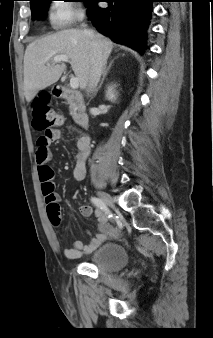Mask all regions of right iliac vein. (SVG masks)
I'll list each match as a JSON object with an SVG mask.
<instances>
[{
	"label": "right iliac vein",
	"instance_id": "right-iliac-vein-1",
	"mask_svg": "<svg viewBox=\"0 0 213 338\" xmlns=\"http://www.w3.org/2000/svg\"><path fill=\"white\" fill-rule=\"evenodd\" d=\"M97 195L105 204L114 208L113 200L107 193L98 192Z\"/></svg>",
	"mask_w": 213,
	"mask_h": 338
}]
</instances>
